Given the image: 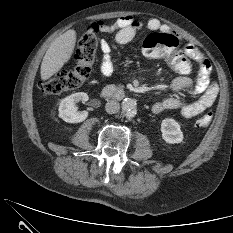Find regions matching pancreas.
<instances>
[{
	"instance_id": "1",
	"label": "pancreas",
	"mask_w": 233,
	"mask_h": 233,
	"mask_svg": "<svg viewBox=\"0 0 233 233\" xmlns=\"http://www.w3.org/2000/svg\"><path fill=\"white\" fill-rule=\"evenodd\" d=\"M120 88H122L123 86L122 85H119Z\"/></svg>"
}]
</instances>
